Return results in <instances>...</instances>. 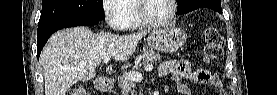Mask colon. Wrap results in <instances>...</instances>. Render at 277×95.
Listing matches in <instances>:
<instances>
[{
    "label": "colon",
    "instance_id": "1",
    "mask_svg": "<svg viewBox=\"0 0 277 95\" xmlns=\"http://www.w3.org/2000/svg\"><path fill=\"white\" fill-rule=\"evenodd\" d=\"M204 37V56L205 63L218 60L223 55L224 38L216 28H206L203 33ZM70 95H86L83 87L73 88Z\"/></svg>",
    "mask_w": 277,
    "mask_h": 95
}]
</instances>
